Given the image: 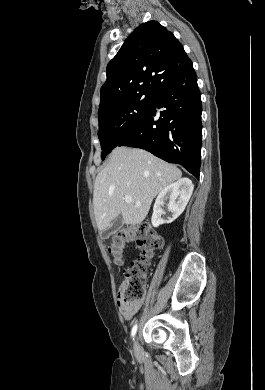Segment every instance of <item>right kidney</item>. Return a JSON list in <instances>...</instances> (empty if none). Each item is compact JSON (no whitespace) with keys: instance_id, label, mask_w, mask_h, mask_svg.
Returning <instances> with one entry per match:
<instances>
[{"instance_id":"right-kidney-1","label":"right kidney","mask_w":265,"mask_h":390,"mask_svg":"<svg viewBox=\"0 0 265 390\" xmlns=\"http://www.w3.org/2000/svg\"><path fill=\"white\" fill-rule=\"evenodd\" d=\"M193 189L194 185L189 178L179 179L177 182L165 187L155 201L151 218L152 225L158 227L161 224L171 223L177 219L183 213ZM166 200L169 201L168 210L171 212V216L164 220L162 216L165 214V211L162 207Z\"/></svg>"}]
</instances>
